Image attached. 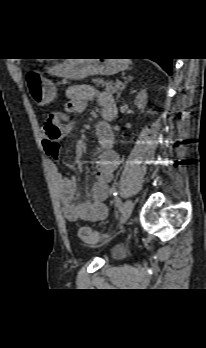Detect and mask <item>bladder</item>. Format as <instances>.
I'll return each instance as SVG.
<instances>
[{"mask_svg":"<svg viewBox=\"0 0 206 348\" xmlns=\"http://www.w3.org/2000/svg\"><path fill=\"white\" fill-rule=\"evenodd\" d=\"M123 254H124V252L122 250H120V249H115L113 251V255L114 256H122Z\"/></svg>","mask_w":206,"mask_h":348,"instance_id":"1","label":"bladder"}]
</instances>
